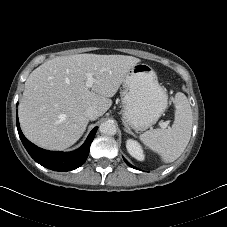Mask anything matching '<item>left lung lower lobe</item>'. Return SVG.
Segmentation results:
<instances>
[{
  "mask_svg": "<svg viewBox=\"0 0 227 227\" xmlns=\"http://www.w3.org/2000/svg\"><path fill=\"white\" fill-rule=\"evenodd\" d=\"M124 161L126 162L127 165L133 167V166H132L130 163H128L125 159H124ZM133 168H135V167H133Z\"/></svg>",
  "mask_w": 227,
  "mask_h": 227,
  "instance_id": "0a47b994",
  "label": "left lung lower lobe"
}]
</instances>
